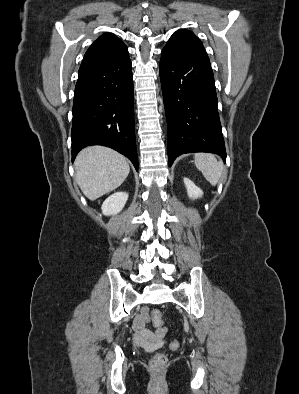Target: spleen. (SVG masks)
Listing matches in <instances>:
<instances>
[{"instance_id": "obj_1", "label": "spleen", "mask_w": 299, "mask_h": 394, "mask_svg": "<svg viewBox=\"0 0 299 394\" xmlns=\"http://www.w3.org/2000/svg\"><path fill=\"white\" fill-rule=\"evenodd\" d=\"M195 165L205 177V179L215 186L219 182L224 173V165L217 161L216 157L211 153H196Z\"/></svg>"}]
</instances>
